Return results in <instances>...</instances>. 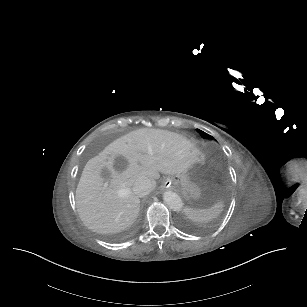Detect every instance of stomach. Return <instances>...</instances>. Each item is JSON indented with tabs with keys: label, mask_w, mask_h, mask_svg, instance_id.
<instances>
[{
	"label": "stomach",
	"mask_w": 307,
	"mask_h": 307,
	"mask_svg": "<svg viewBox=\"0 0 307 307\" xmlns=\"http://www.w3.org/2000/svg\"><path fill=\"white\" fill-rule=\"evenodd\" d=\"M200 162L194 163L189 169L169 175L165 182L172 188L179 189L183 193H191L196 189V179Z\"/></svg>",
	"instance_id": "obj_1"
}]
</instances>
